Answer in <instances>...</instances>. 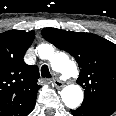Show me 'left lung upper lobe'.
<instances>
[{"label": "left lung upper lobe", "instance_id": "obj_1", "mask_svg": "<svg viewBox=\"0 0 116 116\" xmlns=\"http://www.w3.org/2000/svg\"><path fill=\"white\" fill-rule=\"evenodd\" d=\"M42 36L77 60L83 102L116 105V45L91 33L44 28Z\"/></svg>", "mask_w": 116, "mask_h": 116}]
</instances>
